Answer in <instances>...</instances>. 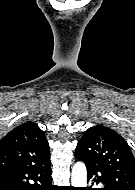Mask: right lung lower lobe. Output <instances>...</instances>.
<instances>
[{
  "instance_id": "1",
  "label": "right lung lower lobe",
  "mask_w": 135,
  "mask_h": 190,
  "mask_svg": "<svg viewBox=\"0 0 135 190\" xmlns=\"http://www.w3.org/2000/svg\"><path fill=\"white\" fill-rule=\"evenodd\" d=\"M50 161L0 169V190H55L51 184Z\"/></svg>"
}]
</instances>
